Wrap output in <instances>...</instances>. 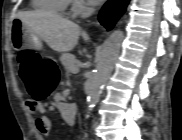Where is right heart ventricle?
I'll return each instance as SVG.
<instances>
[{"instance_id": "e07e8e85", "label": "right heart ventricle", "mask_w": 182, "mask_h": 140, "mask_svg": "<svg viewBox=\"0 0 182 140\" xmlns=\"http://www.w3.org/2000/svg\"><path fill=\"white\" fill-rule=\"evenodd\" d=\"M69 3V0H34L33 7L42 12L64 14Z\"/></svg>"}]
</instances>
